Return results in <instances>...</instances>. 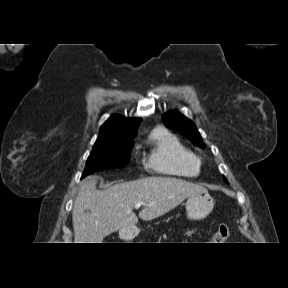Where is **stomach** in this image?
<instances>
[{"label": "stomach", "instance_id": "1", "mask_svg": "<svg viewBox=\"0 0 288 288\" xmlns=\"http://www.w3.org/2000/svg\"><path fill=\"white\" fill-rule=\"evenodd\" d=\"M214 199L206 189L201 190L193 195H190L186 201V211L189 219L201 220L204 219L213 210ZM139 230L121 232L120 236L123 239H132L138 234Z\"/></svg>", "mask_w": 288, "mask_h": 288}]
</instances>
